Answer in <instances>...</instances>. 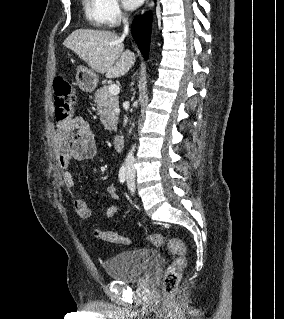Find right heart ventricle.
Returning <instances> with one entry per match:
<instances>
[{"instance_id": "obj_1", "label": "right heart ventricle", "mask_w": 284, "mask_h": 319, "mask_svg": "<svg viewBox=\"0 0 284 319\" xmlns=\"http://www.w3.org/2000/svg\"><path fill=\"white\" fill-rule=\"evenodd\" d=\"M83 10L89 23L96 27L107 25L104 11L103 0H82Z\"/></svg>"}]
</instances>
